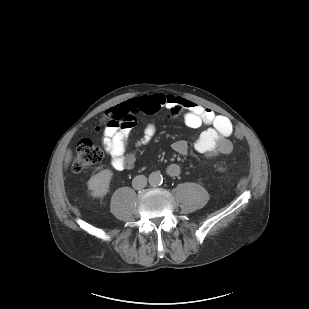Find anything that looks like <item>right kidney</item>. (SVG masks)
Returning <instances> with one entry per match:
<instances>
[{
  "label": "right kidney",
  "instance_id": "ca27d5eb",
  "mask_svg": "<svg viewBox=\"0 0 309 309\" xmlns=\"http://www.w3.org/2000/svg\"><path fill=\"white\" fill-rule=\"evenodd\" d=\"M112 175L110 170L105 169L89 179L88 189L91 190L92 196L104 197L108 193Z\"/></svg>",
  "mask_w": 309,
  "mask_h": 309
}]
</instances>
